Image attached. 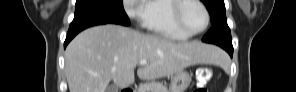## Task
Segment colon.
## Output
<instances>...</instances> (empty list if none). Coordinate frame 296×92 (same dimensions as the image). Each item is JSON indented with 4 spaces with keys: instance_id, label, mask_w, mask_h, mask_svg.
<instances>
[{
    "instance_id": "5ec220e1",
    "label": "colon",
    "mask_w": 296,
    "mask_h": 92,
    "mask_svg": "<svg viewBox=\"0 0 296 92\" xmlns=\"http://www.w3.org/2000/svg\"><path fill=\"white\" fill-rule=\"evenodd\" d=\"M211 77V70L210 68H202L197 71L196 73V86L194 88V92H207V88L205 86V83L210 79Z\"/></svg>"
}]
</instances>
